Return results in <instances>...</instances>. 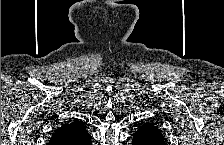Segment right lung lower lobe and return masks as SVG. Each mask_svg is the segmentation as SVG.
<instances>
[{"mask_svg": "<svg viewBox=\"0 0 224 145\" xmlns=\"http://www.w3.org/2000/svg\"><path fill=\"white\" fill-rule=\"evenodd\" d=\"M86 145H90L91 144V138H89L88 141L85 142Z\"/></svg>", "mask_w": 224, "mask_h": 145, "instance_id": "obj_1", "label": "right lung lower lobe"}]
</instances>
